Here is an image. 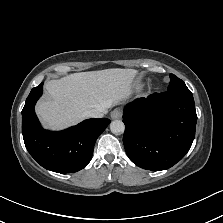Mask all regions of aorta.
<instances>
[{
	"mask_svg": "<svg viewBox=\"0 0 223 223\" xmlns=\"http://www.w3.org/2000/svg\"><path fill=\"white\" fill-rule=\"evenodd\" d=\"M124 123L121 120H114L110 123V130L112 133H123Z\"/></svg>",
	"mask_w": 223,
	"mask_h": 223,
	"instance_id": "aorta-1",
	"label": "aorta"
}]
</instances>
